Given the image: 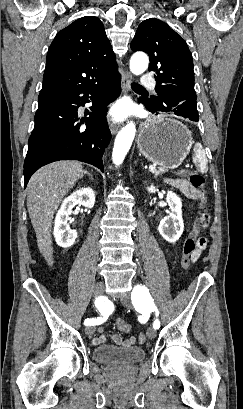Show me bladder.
<instances>
[{
    "label": "bladder",
    "mask_w": 243,
    "mask_h": 409,
    "mask_svg": "<svg viewBox=\"0 0 243 409\" xmlns=\"http://www.w3.org/2000/svg\"><path fill=\"white\" fill-rule=\"evenodd\" d=\"M145 354L141 347L101 345L93 349V358L103 364L132 365L142 361Z\"/></svg>",
    "instance_id": "bladder-1"
}]
</instances>
